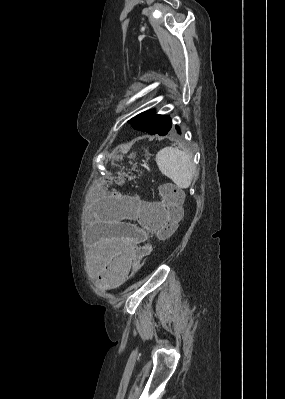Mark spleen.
<instances>
[{"label":"spleen","instance_id":"spleen-1","mask_svg":"<svg viewBox=\"0 0 285 399\" xmlns=\"http://www.w3.org/2000/svg\"><path fill=\"white\" fill-rule=\"evenodd\" d=\"M156 163L160 171L179 188L186 189L191 185L194 165L186 151L165 147L157 153Z\"/></svg>","mask_w":285,"mask_h":399}]
</instances>
